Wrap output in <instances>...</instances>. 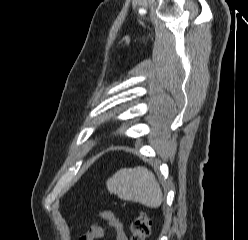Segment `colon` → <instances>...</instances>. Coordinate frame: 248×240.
<instances>
[{
  "label": "colon",
  "instance_id": "5ec220e1",
  "mask_svg": "<svg viewBox=\"0 0 248 240\" xmlns=\"http://www.w3.org/2000/svg\"><path fill=\"white\" fill-rule=\"evenodd\" d=\"M151 219L145 214L140 213L130 225V240H146L151 231Z\"/></svg>",
  "mask_w": 248,
  "mask_h": 240
}]
</instances>
